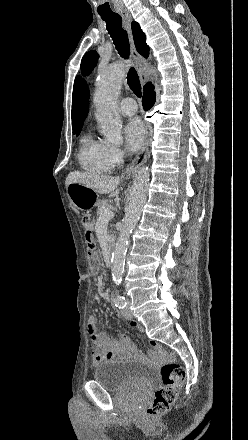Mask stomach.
Listing matches in <instances>:
<instances>
[{"mask_svg": "<svg viewBox=\"0 0 248 440\" xmlns=\"http://www.w3.org/2000/svg\"><path fill=\"white\" fill-rule=\"evenodd\" d=\"M67 194L72 204L79 210L90 209L99 204L97 192L78 183L68 185Z\"/></svg>", "mask_w": 248, "mask_h": 440, "instance_id": "1", "label": "stomach"}]
</instances>
